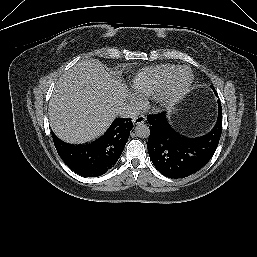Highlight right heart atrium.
<instances>
[{"label": "right heart atrium", "instance_id": "d8ad5b80", "mask_svg": "<svg viewBox=\"0 0 257 257\" xmlns=\"http://www.w3.org/2000/svg\"><path fill=\"white\" fill-rule=\"evenodd\" d=\"M130 101L136 107H139L141 105L140 99L138 97H136L135 95H130Z\"/></svg>", "mask_w": 257, "mask_h": 257}]
</instances>
